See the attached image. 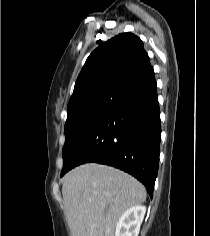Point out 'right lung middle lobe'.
Here are the masks:
<instances>
[{
	"label": "right lung middle lobe",
	"instance_id": "right-lung-middle-lobe-1",
	"mask_svg": "<svg viewBox=\"0 0 210 236\" xmlns=\"http://www.w3.org/2000/svg\"><path fill=\"white\" fill-rule=\"evenodd\" d=\"M124 90H114L101 93L83 100L70 109L65 123V144L63 146V167L78 148L89 131L125 94Z\"/></svg>",
	"mask_w": 210,
	"mask_h": 236
}]
</instances>
